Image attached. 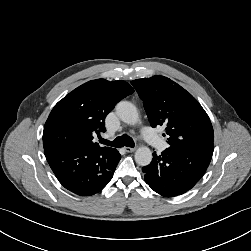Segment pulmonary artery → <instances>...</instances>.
Returning a JSON list of instances; mask_svg holds the SVG:
<instances>
[{
  "instance_id": "e3ab8cb5",
  "label": "pulmonary artery",
  "mask_w": 251,
  "mask_h": 251,
  "mask_svg": "<svg viewBox=\"0 0 251 251\" xmlns=\"http://www.w3.org/2000/svg\"><path fill=\"white\" fill-rule=\"evenodd\" d=\"M141 133L146 142L152 147L158 150H164L166 148L167 144L162 139H160L150 128L144 127L141 130Z\"/></svg>"
}]
</instances>
